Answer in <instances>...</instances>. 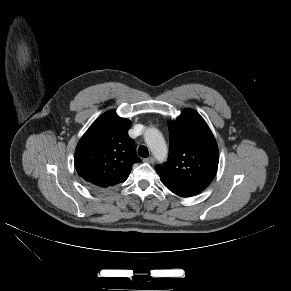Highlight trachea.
Returning <instances> with one entry per match:
<instances>
[{
  "mask_svg": "<svg viewBox=\"0 0 291 291\" xmlns=\"http://www.w3.org/2000/svg\"><path fill=\"white\" fill-rule=\"evenodd\" d=\"M138 154H139L140 157L147 158L149 156L148 148L146 146H144V145H141L138 148Z\"/></svg>",
  "mask_w": 291,
  "mask_h": 291,
  "instance_id": "trachea-1",
  "label": "trachea"
}]
</instances>
